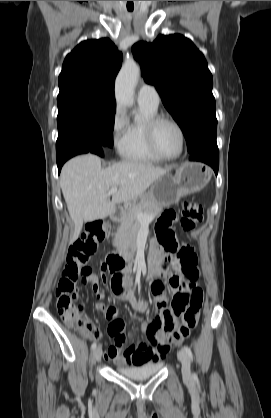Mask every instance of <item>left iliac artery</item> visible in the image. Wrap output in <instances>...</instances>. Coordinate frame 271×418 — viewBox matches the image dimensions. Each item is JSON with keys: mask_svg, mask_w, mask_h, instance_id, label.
<instances>
[{"mask_svg": "<svg viewBox=\"0 0 271 418\" xmlns=\"http://www.w3.org/2000/svg\"><path fill=\"white\" fill-rule=\"evenodd\" d=\"M183 349L185 350V352L187 353V355L189 356V358L191 360H193V355H192L191 349L188 346H184ZM193 376L195 377V374Z\"/></svg>", "mask_w": 271, "mask_h": 418, "instance_id": "44dca946", "label": "left iliac artery"}]
</instances>
